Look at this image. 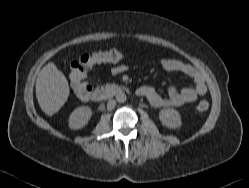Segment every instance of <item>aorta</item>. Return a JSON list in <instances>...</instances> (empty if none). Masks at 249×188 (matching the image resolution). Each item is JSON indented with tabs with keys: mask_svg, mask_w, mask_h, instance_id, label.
Wrapping results in <instances>:
<instances>
[{
	"mask_svg": "<svg viewBox=\"0 0 249 188\" xmlns=\"http://www.w3.org/2000/svg\"><path fill=\"white\" fill-rule=\"evenodd\" d=\"M127 99V96L124 92H120L116 95V100L119 102V103H124Z\"/></svg>",
	"mask_w": 249,
	"mask_h": 188,
	"instance_id": "aorta-1",
	"label": "aorta"
}]
</instances>
